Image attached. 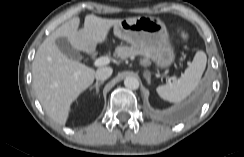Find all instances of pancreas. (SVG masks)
<instances>
[{
    "instance_id": "1",
    "label": "pancreas",
    "mask_w": 244,
    "mask_h": 157,
    "mask_svg": "<svg viewBox=\"0 0 244 157\" xmlns=\"http://www.w3.org/2000/svg\"><path fill=\"white\" fill-rule=\"evenodd\" d=\"M116 53L121 58H131V57H135L137 55L143 56L145 60H147L149 58V55L145 51L134 48L133 46L132 47H128V46L117 47Z\"/></svg>"
}]
</instances>
